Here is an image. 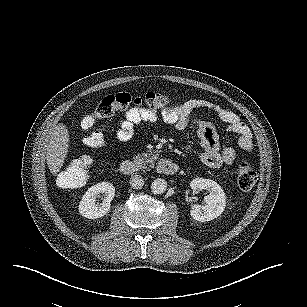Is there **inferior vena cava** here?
I'll list each match as a JSON object with an SVG mask.
<instances>
[{
	"mask_svg": "<svg viewBox=\"0 0 307 307\" xmlns=\"http://www.w3.org/2000/svg\"><path fill=\"white\" fill-rule=\"evenodd\" d=\"M129 183H130V185L133 189H142V187L144 185V180H143L142 176H140V175H133L130 178Z\"/></svg>",
	"mask_w": 307,
	"mask_h": 307,
	"instance_id": "1",
	"label": "inferior vena cava"
}]
</instances>
